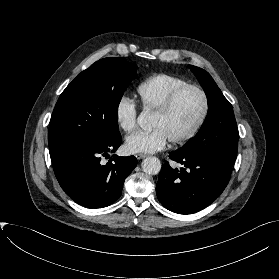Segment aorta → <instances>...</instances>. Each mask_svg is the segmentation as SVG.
<instances>
[{
	"label": "aorta",
	"instance_id": "aorta-1",
	"mask_svg": "<svg viewBox=\"0 0 279 279\" xmlns=\"http://www.w3.org/2000/svg\"><path fill=\"white\" fill-rule=\"evenodd\" d=\"M137 122L143 130L149 131L152 128L151 116L148 111H142L137 118ZM142 170L146 174L156 175L161 170V162L157 157H147L142 162Z\"/></svg>",
	"mask_w": 279,
	"mask_h": 279
}]
</instances>
